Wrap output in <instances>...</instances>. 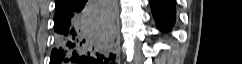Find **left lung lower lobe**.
Returning <instances> with one entry per match:
<instances>
[{
	"mask_svg": "<svg viewBox=\"0 0 242 64\" xmlns=\"http://www.w3.org/2000/svg\"><path fill=\"white\" fill-rule=\"evenodd\" d=\"M156 25L162 32H169L176 21L175 0H150Z\"/></svg>",
	"mask_w": 242,
	"mask_h": 64,
	"instance_id": "1",
	"label": "left lung lower lobe"
}]
</instances>
